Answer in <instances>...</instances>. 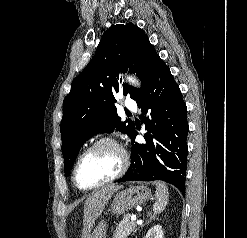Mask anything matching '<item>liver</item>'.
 Returning <instances> with one entry per match:
<instances>
[{
    "label": "liver",
    "mask_w": 247,
    "mask_h": 238,
    "mask_svg": "<svg viewBox=\"0 0 247 238\" xmlns=\"http://www.w3.org/2000/svg\"><path fill=\"white\" fill-rule=\"evenodd\" d=\"M122 186L120 185H108L100 189L99 191L93 193L90 197L87 198L84 204V237L90 238L89 233L96 219L103 212L107 202L113 195V193Z\"/></svg>",
    "instance_id": "obj_1"
}]
</instances>
